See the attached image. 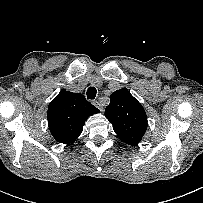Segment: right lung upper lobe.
Here are the masks:
<instances>
[{
  "instance_id": "1",
  "label": "right lung upper lobe",
  "mask_w": 203,
  "mask_h": 203,
  "mask_svg": "<svg viewBox=\"0 0 203 203\" xmlns=\"http://www.w3.org/2000/svg\"><path fill=\"white\" fill-rule=\"evenodd\" d=\"M99 112L82 94L61 90L48 106L49 130L57 142L69 145L82 133L88 117Z\"/></svg>"
}]
</instances>
